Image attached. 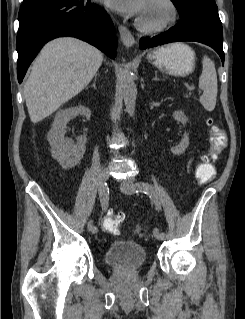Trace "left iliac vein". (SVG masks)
<instances>
[{
    "label": "left iliac vein",
    "instance_id": "1",
    "mask_svg": "<svg viewBox=\"0 0 245 319\" xmlns=\"http://www.w3.org/2000/svg\"><path fill=\"white\" fill-rule=\"evenodd\" d=\"M134 185V178L133 177H127L124 179L121 183L120 189L125 193H134L135 190H132L131 187ZM153 234L156 239L163 240L164 238L159 234L158 229H154Z\"/></svg>",
    "mask_w": 245,
    "mask_h": 319
}]
</instances>
